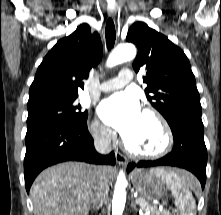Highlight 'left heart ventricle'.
Returning <instances> with one entry per match:
<instances>
[{
	"label": "left heart ventricle",
	"mask_w": 221,
	"mask_h": 215,
	"mask_svg": "<svg viewBox=\"0 0 221 215\" xmlns=\"http://www.w3.org/2000/svg\"><path fill=\"white\" fill-rule=\"evenodd\" d=\"M125 140L136 150L155 151L162 145L163 137L158 124L142 114L137 127Z\"/></svg>",
	"instance_id": "b2bd125f"
}]
</instances>
